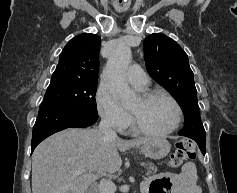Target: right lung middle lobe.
<instances>
[{
  "label": "right lung middle lobe",
  "mask_w": 237,
  "mask_h": 193,
  "mask_svg": "<svg viewBox=\"0 0 237 193\" xmlns=\"http://www.w3.org/2000/svg\"><path fill=\"white\" fill-rule=\"evenodd\" d=\"M97 81L52 76L41 106H53L78 114L97 115Z\"/></svg>",
  "instance_id": "dd1d6c3e"
}]
</instances>
